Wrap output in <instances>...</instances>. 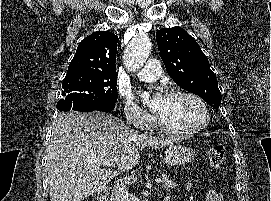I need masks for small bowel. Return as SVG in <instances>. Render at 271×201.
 I'll use <instances>...</instances> for the list:
<instances>
[{"label":"small bowel","mask_w":271,"mask_h":201,"mask_svg":"<svg viewBox=\"0 0 271 201\" xmlns=\"http://www.w3.org/2000/svg\"><path fill=\"white\" fill-rule=\"evenodd\" d=\"M196 184L192 182L185 183V187L187 190H193ZM206 201H223L222 196L219 193H215L213 191H207L206 193Z\"/></svg>","instance_id":"small-bowel-1"}]
</instances>
